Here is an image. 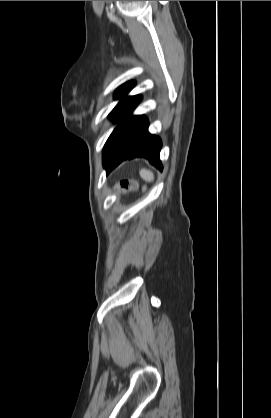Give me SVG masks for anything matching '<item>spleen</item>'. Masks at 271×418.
I'll return each instance as SVG.
<instances>
[{
  "instance_id": "1",
  "label": "spleen",
  "mask_w": 271,
  "mask_h": 418,
  "mask_svg": "<svg viewBox=\"0 0 271 418\" xmlns=\"http://www.w3.org/2000/svg\"><path fill=\"white\" fill-rule=\"evenodd\" d=\"M140 176L147 182H152L154 180V175L150 170L142 168L140 170Z\"/></svg>"
}]
</instances>
